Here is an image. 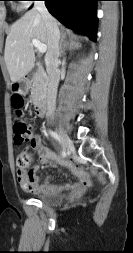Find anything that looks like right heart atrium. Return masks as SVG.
<instances>
[{"mask_svg":"<svg viewBox=\"0 0 133 253\" xmlns=\"http://www.w3.org/2000/svg\"><path fill=\"white\" fill-rule=\"evenodd\" d=\"M23 6H27V4H26V3H23Z\"/></svg>","mask_w":133,"mask_h":253,"instance_id":"obj_1","label":"right heart atrium"}]
</instances>
